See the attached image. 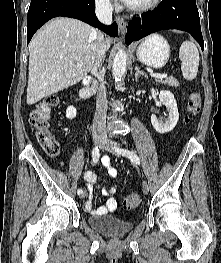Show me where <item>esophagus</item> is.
<instances>
[{
	"label": "esophagus",
	"instance_id": "1",
	"mask_svg": "<svg viewBox=\"0 0 221 263\" xmlns=\"http://www.w3.org/2000/svg\"><path fill=\"white\" fill-rule=\"evenodd\" d=\"M116 22L118 24L120 34L125 36L127 22L120 16L116 17Z\"/></svg>",
	"mask_w": 221,
	"mask_h": 263
}]
</instances>
